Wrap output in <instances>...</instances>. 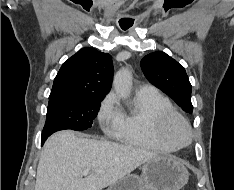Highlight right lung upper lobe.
<instances>
[{
    "label": "right lung upper lobe",
    "instance_id": "right-lung-upper-lobe-1",
    "mask_svg": "<svg viewBox=\"0 0 234 190\" xmlns=\"http://www.w3.org/2000/svg\"><path fill=\"white\" fill-rule=\"evenodd\" d=\"M113 64L108 53L83 48L63 63L52 91L104 98L111 88Z\"/></svg>",
    "mask_w": 234,
    "mask_h": 190
}]
</instances>
